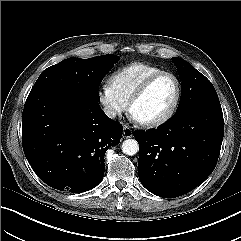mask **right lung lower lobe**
Here are the masks:
<instances>
[{"label": "right lung lower lobe", "instance_id": "obj_1", "mask_svg": "<svg viewBox=\"0 0 241 241\" xmlns=\"http://www.w3.org/2000/svg\"><path fill=\"white\" fill-rule=\"evenodd\" d=\"M123 127L98 102L64 86L30 92L22 113V145L37 176L50 187L81 193L97 186L104 155Z\"/></svg>", "mask_w": 241, "mask_h": 241}]
</instances>
